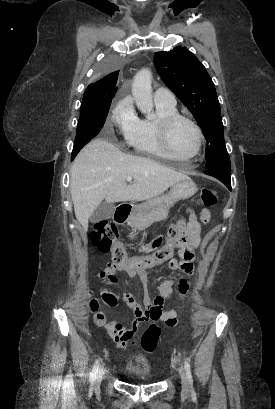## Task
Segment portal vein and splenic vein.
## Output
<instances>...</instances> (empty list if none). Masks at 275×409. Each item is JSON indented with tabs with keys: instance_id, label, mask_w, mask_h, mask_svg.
I'll list each match as a JSON object with an SVG mask.
<instances>
[{
	"instance_id": "portal-vein-and-splenic-vein-1",
	"label": "portal vein and splenic vein",
	"mask_w": 275,
	"mask_h": 409,
	"mask_svg": "<svg viewBox=\"0 0 275 409\" xmlns=\"http://www.w3.org/2000/svg\"><path fill=\"white\" fill-rule=\"evenodd\" d=\"M126 180H128V182H131L132 176H127Z\"/></svg>"
}]
</instances>
